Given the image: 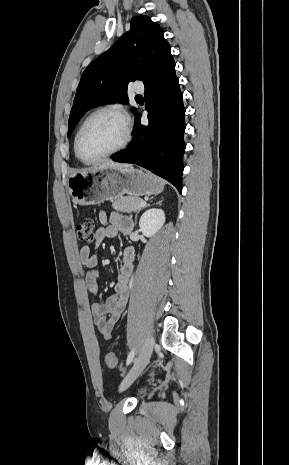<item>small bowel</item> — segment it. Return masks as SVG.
Returning a JSON list of instances; mask_svg holds the SVG:
<instances>
[{
  "mask_svg": "<svg viewBox=\"0 0 289 465\" xmlns=\"http://www.w3.org/2000/svg\"><path fill=\"white\" fill-rule=\"evenodd\" d=\"M98 218L102 226L97 229L95 234L96 247H99L107 238L114 237L118 233L129 234L132 231V221L118 212L108 214L101 211ZM80 260L87 268L85 275L87 290L91 297L97 299L99 295L98 279L100 276L97 267V255L91 253L88 245H84L80 249ZM133 261L134 250L131 247H126L121 255L115 292L105 303L96 300L91 306L93 322L106 339L111 337L115 324L126 307L130 294L129 284L133 272Z\"/></svg>",
  "mask_w": 289,
  "mask_h": 465,
  "instance_id": "c3829d8e",
  "label": "small bowel"
}]
</instances>
